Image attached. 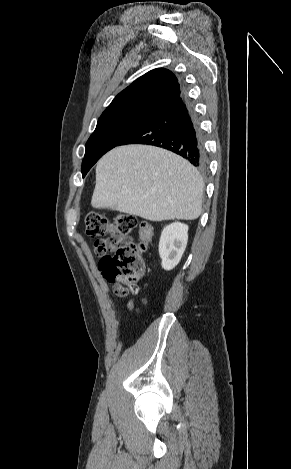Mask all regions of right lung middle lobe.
<instances>
[{
  "label": "right lung middle lobe",
  "instance_id": "obj_1",
  "mask_svg": "<svg viewBox=\"0 0 291 469\" xmlns=\"http://www.w3.org/2000/svg\"><path fill=\"white\" fill-rule=\"evenodd\" d=\"M152 114L129 110L101 116L95 131L86 143V152L82 162L83 177L103 154L117 146Z\"/></svg>",
  "mask_w": 291,
  "mask_h": 469
}]
</instances>
